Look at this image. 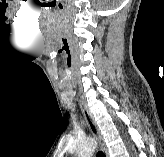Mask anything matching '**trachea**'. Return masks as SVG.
<instances>
[{"label":"trachea","instance_id":"trachea-1","mask_svg":"<svg viewBox=\"0 0 164 157\" xmlns=\"http://www.w3.org/2000/svg\"><path fill=\"white\" fill-rule=\"evenodd\" d=\"M97 157H105V154L102 151H99L97 153Z\"/></svg>","mask_w":164,"mask_h":157}]
</instances>
